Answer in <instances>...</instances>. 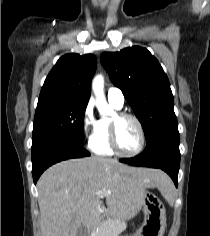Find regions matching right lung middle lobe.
I'll use <instances>...</instances> for the list:
<instances>
[{
  "label": "right lung middle lobe",
  "mask_w": 210,
  "mask_h": 236,
  "mask_svg": "<svg viewBox=\"0 0 210 236\" xmlns=\"http://www.w3.org/2000/svg\"><path fill=\"white\" fill-rule=\"evenodd\" d=\"M87 104L73 100H51L38 103L33 141L61 138L84 145V113Z\"/></svg>",
  "instance_id": "1"
}]
</instances>
